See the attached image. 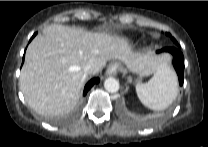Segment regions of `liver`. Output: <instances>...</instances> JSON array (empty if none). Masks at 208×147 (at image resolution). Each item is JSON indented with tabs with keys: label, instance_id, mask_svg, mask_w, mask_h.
Segmentation results:
<instances>
[{
	"label": "liver",
	"instance_id": "liver-1",
	"mask_svg": "<svg viewBox=\"0 0 208 147\" xmlns=\"http://www.w3.org/2000/svg\"><path fill=\"white\" fill-rule=\"evenodd\" d=\"M119 60L131 71L148 76L166 62L151 52L133 53L126 39L107 33L52 24L29 44L20 74V89L27 104L42 115H63L80 99L91 65L100 72L108 60Z\"/></svg>",
	"mask_w": 208,
	"mask_h": 147
}]
</instances>
